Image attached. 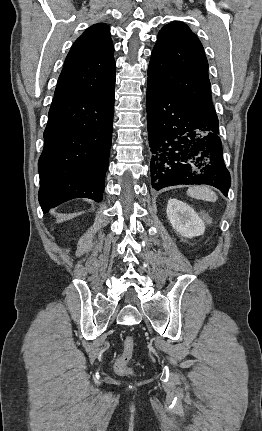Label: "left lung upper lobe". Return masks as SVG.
Instances as JSON below:
<instances>
[{
	"mask_svg": "<svg viewBox=\"0 0 262 431\" xmlns=\"http://www.w3.org/2000/svg\"><path fill=\"white\" fill-rule=\"evenodd\" d=\"M147 82L176 96L203 120L218 124L203 46L184 23L171 22L160 30Z\"/></svg>",
	"mask_w": 262,
	"mask_h": 431,
	"instance_id": "1",
	"label": "left lung upper lobe"
}]
</instances>
